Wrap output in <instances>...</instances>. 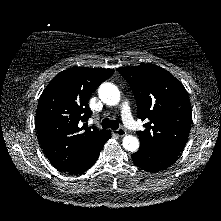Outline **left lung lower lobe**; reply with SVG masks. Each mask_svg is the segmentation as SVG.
I'll use <instances>...</instances> for the list:
<instances>
[{
	"label": "left lung lower lobe",
	"instance_id": "0a47b994",
	"mask_svg": "<svg viewBox=\"0 0 221 221\" xmlns=\"http://www.w3.org/2000/svg\"><path fill=\"white\" fill-rule=\"evenodd\" d=\"M131 158L138 167L148 172L164 170L177 160V156L147 152L141 149L137 153L132 154Z\"/></svg>",
	"mask_w": 221,
	"mask_h": 221
}]
</instances>
